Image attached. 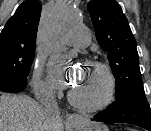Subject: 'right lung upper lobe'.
Instances as JSON below:
<instances>
[{
    "label": "right lung upper lobe",
    "mask_w": 151,
    "mask_h": 131,
    "mask_svg": "<svg viewBox=\"0 0 151 131\" xmlns=\"http://www.w3.org/2000/svg\"><path fill=\"white\" fill-rule=\"evenodd\" d=\"M40 14L41 3L39 0L24 1L2 30L0 45L18 42L24 46L35 47Z\"/></svg>",
    "instance_id": "right-lung-upper-lobe-1"
}]
</instances>
